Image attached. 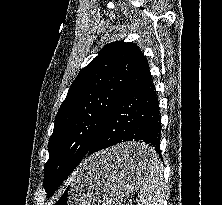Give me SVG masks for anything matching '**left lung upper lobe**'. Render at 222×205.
I'll use <instances>...</instances> for the list:
<instances>
[{"label": "left lung upper lobe", "instance_id": "left-lung-upper-lobe-1", "mask_svg": "<svg viewBox=\"0 0 222 205\" xmlns=\"http://www.w3.org/2000/svg\"><path fill=\"white\" fill-rule=\"evenodd\" d=\"M143 54L133 43L107 44L72 83L55 118L45 164L44 189L50 194L62 173L56 162L67 152L85 155L127 86Z\"/></svg>", "mask_w": 222, "mask_h": 205}]
</instances>
